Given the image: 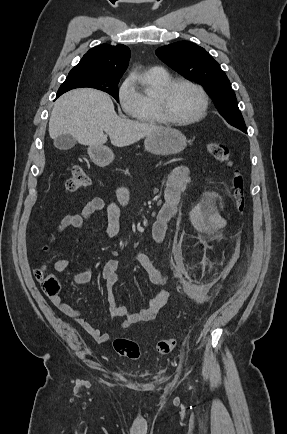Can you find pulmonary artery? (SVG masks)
<instances>
[{
  "label": "pulmonary artery",
  "mask_w": 287,
  "mask_h": 434,
  "mask_svg": "<svg viewBox=\"0 0 287 434\" xmlns=\"http://www.w3.org/2000/svg\"><path fill=\"white\" fill-rule=\"evenodd\" d=\"M162 70H163V69H162L161 67L155 66V67H152V68L149 70V72L156 74V73H160Z\"/></svg>",
  "instance_id": "obj_1"
}]
</instances>
